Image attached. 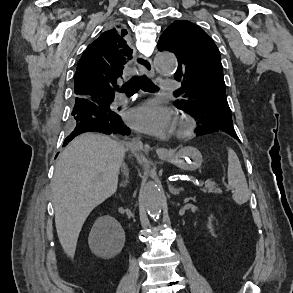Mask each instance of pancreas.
<instances>
[{
  "mask_svg": "<svg viewBox=\"0 0 293 293\" xmlns=\"http://www.w3.org/2000/svg\"><path fill=\"white\" fill-rule=\"evenodd\" d=\"M204 193H214V194H220L221 190L217 188L216 184L214 182H208L205 184V186L201 189Z\"/></svg>",
  "mask_w": 293,
  "mask_h": 293,
  "instance_id": "pancreas-1",
  "label": "pancreas"
}]
</instances>
